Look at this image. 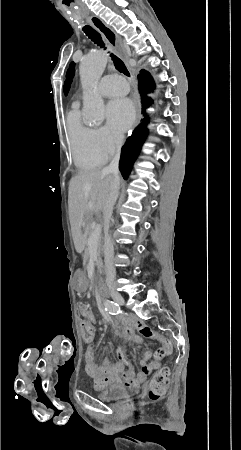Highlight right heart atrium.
Segmentation results:
<instances>
[{"instance_id":"d8ad5b80","label":"right heart atrium","mask_w":241,"mask_h":450,"mask_svg":"<svg viewBox=\"0 0 241 450\" xmlns=\"http://www.w3.org/2000/svg\"><path fill=\"white\" fill-rule=\"evenodd\" d=\"M92 137L96 141L97 151H99L106 158L113 156L114 151L112 150L118 149L121 143V138L119 136L112 134L109 130L104 128L100 129V131H94L92 133ZM98 137L102 145H100V143L97 141ZM118 152L122 153L123 149L119 148Z\"/></svg>"}]
</instances>
